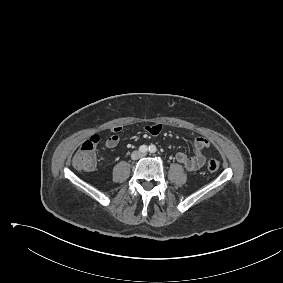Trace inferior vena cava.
I'll return each mask as SVG.
<instances>
[{
    "mask_svg": "<svg viewBox=\"0 0 283 283\" xmlns=\"http://www.w3.org/2000/svg\"><path fill=\"white\" fill-rule=\"evenodd\" d=\"M141 155H142V154L139 153V152H133L132 155H131V158H132V159H137V158H139Z\"/></svg>",
    "mask_w": 283,
    "mask_h": 283,
    "instance_id": "1",
    "label": "inferior vena cava"
}]
</instances>
